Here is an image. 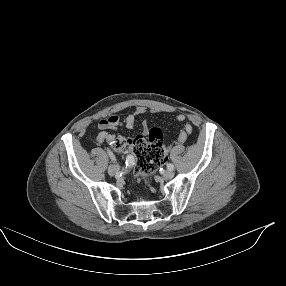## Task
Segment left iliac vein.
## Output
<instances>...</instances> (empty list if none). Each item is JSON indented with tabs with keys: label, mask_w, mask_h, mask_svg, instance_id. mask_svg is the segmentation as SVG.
I'll use <instances>...</instances> for the list:
<instances>
[{
	"label": "left iliac vein",
	"mask_w": 286,
	"mask_h": 286,
	"mask_svg": "<svg viewBox=\"0 0 286 286\" xmlns=\"http://www.w3.org/2000/svg\"><path fill=\"white\" fill-rule=\"evenodd\" d=\"M163 177L165 179H172L174 177V173L173 171L171 170H166L164 173H163Z\"/></svg>",
	"instance_id": "left-iliac-vein-1"
}]
</instances>
